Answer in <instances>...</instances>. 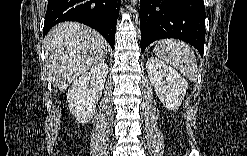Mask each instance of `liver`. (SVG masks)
I'll return each mask as SVG.
<instances>
[{"mask_svg": "<svg viewBox=\"0 0 247 156\" xmlns=\"http://www.w3.org/2000/svg\"><path fill=\"white\" fill-rule=\"evenodd\" d=\"M43 44L48 75L61 92L107 54V42L97 31L74 22L54 26Z\"/></svg>", "mask_w": 247, "mask_h": 156, "instance_id": "liver-1", "label": "liver"}]
</instances>
